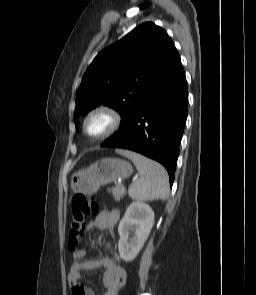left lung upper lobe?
Segmentation results:
<instances>
[{"instance_id": "5c2ea615", "label": "left lung upper lobe", "mask_w": 256, "mask_h": 295, "mask_svg": "<svg viewBox=\"0 0 256 295\" xmlns=\"http://www.w3.org/2000/svg\"><path fill=\"white\" fill-rule=\"evenodd\" d=\"M180 62L179 53L164 29L150 22L137 26L101 51L88 67L76 93V127L79 115L100 104L115 109L123 125Z\"/></svg>"}]
</instances>
